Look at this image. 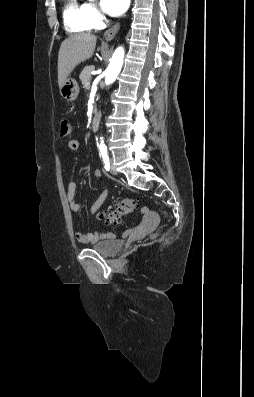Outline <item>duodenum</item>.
<instances>
[{
  "mask_svg": "<svg viewBox=\"0 0 254 397\" xmlns=\"http://www.w3.org/2000/svg\"><path fill=\"white\" fill-rule=\"evenodd\" d=\"M100 113L99 112H95L92 118V123H91V127L92 130H97L100 124Z\"/></svg>",
  "mask_w": 254,
  "mask_h": 397,
  "instance_id": "1",
  "label": "duodenum"
}]
</instances>
